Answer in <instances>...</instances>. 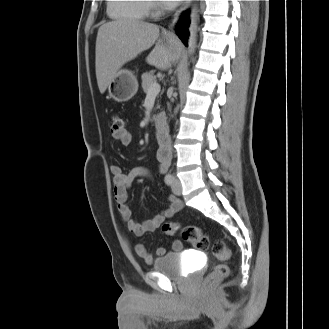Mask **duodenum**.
I'll return each mask as SVG.
<instances>
[{"label": "duodenum", "instance_id": "410a0bca", "mask_svg": "<svg viewBox=\"0 0 329 329\" xmlns=\"http://www.w3.org/2000/svg\"><path fill=\"white\" fill-rule=\"evenodd\" d=\"M154 132L157 136V138L162 142L165 143L168 139V134L166 130V124H165V117L163 115H158L153 120L152 123Z\"/></svg>", "mask_w": 329, "mask_h": 329}]
</instances>
